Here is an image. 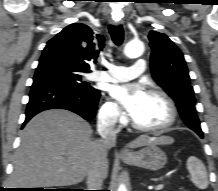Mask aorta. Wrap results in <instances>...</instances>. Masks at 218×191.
I'll list each match as a JSON object with an SVG mask.
<instances>
[{
    "instance_id": "obj_1",
    "label": "aorta",
    "mask_w": 218,
    "mask_h": 191,
    "mask_svg": "<svg viewBox=\"0 0 218 191\" xmlns=\"http://www.w3.org/2000/svg\"><path fill=\"white\" fill-rule=\"evenodd\" d=\"M143 52L144 45L139 40L130 41L124 47V54L131 59L140 57ZM117 191H127V189L124 184H121Z\"/></svg>"
}]
</instances>
